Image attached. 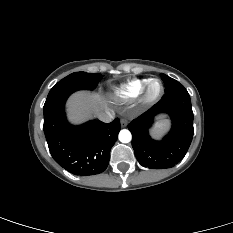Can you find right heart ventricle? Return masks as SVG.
I'll return each instance as SVG.
<instances>
[{"label": "right heart ventricle", "instance_id": "obj_1", "mask_svg": "<svg viewBox=\"0 0 233 233\" xmlns=\"http://www.w3.org/2000/svg\"><path fill=\"white\" fill-rule=\"evenodd\" d=\"M149 80L150 79L148 78L134 79L128 82L127 84L123 85L122 87L117 88L114 91V96L119 100L135 99L141 94L144 86L147 84Z\"/></svg>", "mask_w": 233, "mask_h": 233}]
</instances>
